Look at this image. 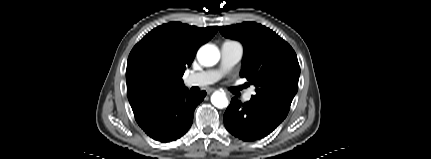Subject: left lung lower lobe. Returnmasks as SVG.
I'll return each instance as SVG.
<instances>
[{"label":"left lung lower lobe","instance_id":"left-lung-lower-lobe-1","mask_svg":"<svg viewBox=\"0 0 431 159\" xmlns=\"http://www.w3.org/2000/svg\"><path fill=\"white\" fill-rule=\"evenodd\" d=\"M288 112L289 109L274 102L251 98L242 104L234 97L224 113V124L235 137L254 141L276 129Z\"/></svg>","mask_w":431,"mask_h":159}]
</instances>
